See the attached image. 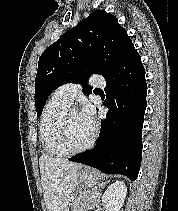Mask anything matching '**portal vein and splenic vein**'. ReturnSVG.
<instances>
[{
	"label": "portal vein and splenic vein",
	"mask_w": 178,
	"mask_h": 211,
	"mask_svg": "<svg viewBox=\"0 0 178 211\" xmlns=\"http://www.w3.org/2000/svg\"><path fill=\"white\" fill-rule=\"evenodd\" d=\"M95 197H97V193H95V194L93 195V198H95Z\"/></svg>",
	"instance_id": "obj_1"
}]
</instances>
